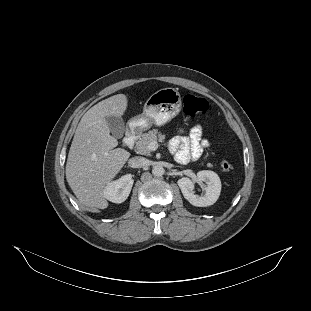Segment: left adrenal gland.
Listing matches in <instances>:
<instances>
[{
    "label": "left adrenal gland",
    "mask_w": 311,
    "mask_h": 311,
    "mask_svg": "<svg viewBox=\"0 0 311 311\" xmlns=\"http://www.w3.org/2000/svg\"><path fill=\"white\" fill-rule=\"evenodd\" d=\"M176 168H181V169H183L184 167L183 166H175Z\"/></svg>",
    "instance_id": "left-adrenal-gland-1"
}]
</instances>
